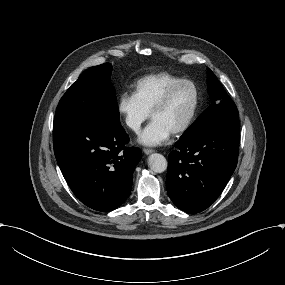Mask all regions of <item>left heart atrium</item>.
Masks as SVG:
<instances>
[{
	"instance_id": "39dd6f15",
	"label": "left heart atrium",
	"mask_w": 285,
	"mask_h": 285,
	"mask_svg": "<svg viewBox=\"0 0 285 285\" xmlns=\"http://www.w3.org/2000/svg\"><path fill=\"white\" fill-rule=\"evenodd\" d=\"M172 130L157 119H152L148 126L141 133L139 140L147 146H157L166 142Z\"/></svg>"
}]
</instances>
